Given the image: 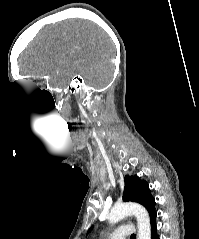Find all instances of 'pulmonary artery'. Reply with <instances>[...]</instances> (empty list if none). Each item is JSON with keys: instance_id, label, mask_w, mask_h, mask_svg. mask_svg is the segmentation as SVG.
Returning a JSON list of instances; mask_svg holds the SVG:
<instances>
[{"instance_id": "obj_1", "label": "pulmonary artery", "mask_w": 199, "mask_h": 239, "mask_svg": "<svg viewBox=\"0 0 199 239\" xmlns=\"http://www.w3.org/2000/svg\"><path fill=\"white\" fill-rule=\"evenodd\" d=\"M134 232V226L127 224L121 226L119 229L114 231L112 234L108 236V239H126Z\"/></svg>"}]
</instances>
